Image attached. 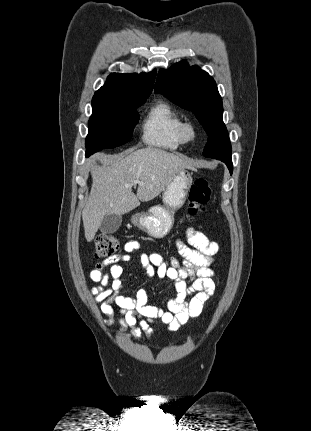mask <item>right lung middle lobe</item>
Listing matches in <instances>:
<instances>
[{
    "label": "right lung middle lobe",
    "instance_id": "right-lung-middle-lobe-1",
    "mask_svg": "<svg viewBox=\"0 0 311 431\" xmlns=\"http://www.w3.org/2000/svg\"><path fill=\"white\" fill-rule=\"evenodd\" d=\"M148 97L93 96L86 156L128 142L138 121L137 108Z\"/></svg>",
    "mask_w": 311,
    "mask_h": 431
}]
</instances>
